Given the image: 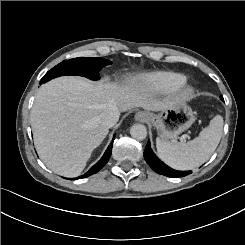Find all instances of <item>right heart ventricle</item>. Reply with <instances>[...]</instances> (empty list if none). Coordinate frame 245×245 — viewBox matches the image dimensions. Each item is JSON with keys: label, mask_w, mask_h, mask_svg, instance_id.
I'll list each match as a JSON object with an SVG mask.
<instances>
[{"label": "right heart ventricle", "mask_w": 245, "mask_h": 245, "mask_svg": "<svg viewBox=\"0 0 245 245\" xmlns=\"http://www.w3.org/2000/svg\"><path fill=\"white\" fill-rule=\"evenodd\" d=\"M153 86L159 89H174L186 82V77L173 72H156L148 76Z\"/></svg>", "instance_id": "obj_1"}]
</instances>
